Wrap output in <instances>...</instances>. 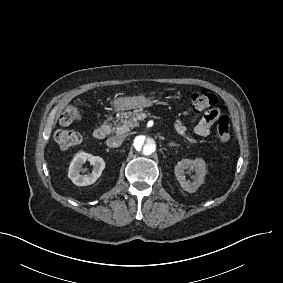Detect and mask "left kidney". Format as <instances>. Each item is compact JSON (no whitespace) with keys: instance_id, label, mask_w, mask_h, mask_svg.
<instances>
[{"instance_id":"5707ae66","label":"left kidney","mask_w":283,"mask_h":283,"mask_svg":"<svg viewBox=\"0 0 283 283\" xmlns=\"http://www.w3.org/2000/svg\"><path fill=\"white\" fill-rule=\"evenodd\" d=\"M175 175L180 183L182 189L187 192H195L199 186L203 184L204 177L206 175L205 163L201 159L191 160L182 159L175 165ZM186 170L194 172L193 181H186Z\"/></svg>"}]
</instances>
